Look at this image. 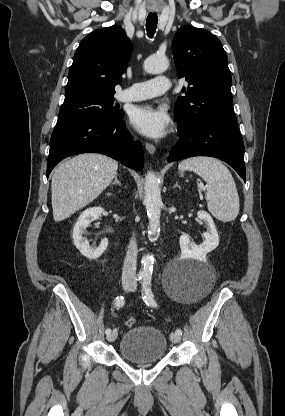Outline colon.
Here are the masks:
<instances>
[{
  "label": "colon",
  "mask_w": 285,
  "mask_h": 416,
  "mask_svg": "<svg viewBox=\"0 0 285 416\" xmlns=\"http://www.w3.org/2000/svg\"><path fill=\"white\" fill-rule=\"evenodd\" d=\"M135 324H136V319H135V318H133V317L128 318V319L126 320V322H125V325H126L127 327H132V326H134Z\"/></svg>",
  "instance_id": "1"
}]
</instances>
